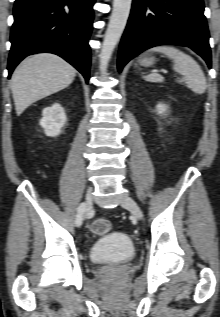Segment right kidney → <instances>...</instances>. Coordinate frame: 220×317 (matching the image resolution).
I'll return each instance as SVG.
<instances>
[{"instance_id":"right-kidney-1","label":"right kidney","mask_w":220,"mask_h":317,"mask_svg":"<svg viewBox=\"0 0 220 317\" xmlns=\"http://www.w3.org/2000/svg\"><path fill=\"white\" fill-rule=\"evenodd\" d=\"M66 120L67 118L63 107L55 103L43 109L40 125L47 136L55 137L61 133V128L64 126Z\"/></svg>"}]
</instances>
